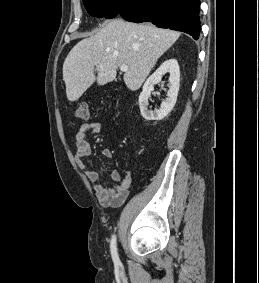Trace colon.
Masks as SVG:
<instances>
[{
    "label": "colon",
    "mask_w": 259,
    "mask_h": 283,
    "mask_svg": "<svg viewBox=\"0 0 259 283\" xmlns=\"http://www.w3.org/2000/svg\"><path fill=\"white\" fill-rule=\"evenodd\" d=\"M76 117L80 120H88L90 117L87 103H81L76 109Z\"/></svg>",
    "instance_id": "1"
}]
</instances>
